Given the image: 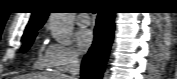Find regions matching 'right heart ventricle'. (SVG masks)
Instances as JSON below:
<instances>
[{"mask_svg": "<svg viewBox=\"0 0 177 79\" xmlns=\"http://www.w3.org/2000/svg\"><path fill=\"white\" fill-rule=\"evenodd\" d=\"M45 63V58H43L41 55H39L38 59L35 62V66L38 68H41L42 66H44Z\"/></svg>", "mask_w": 177, "mask_h": 79, "instance_id": "e07e8e85", "label": "right heart ventricle"}]
</instances>
